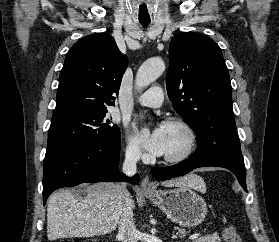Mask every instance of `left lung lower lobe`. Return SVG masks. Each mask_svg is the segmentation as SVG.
Returning <instances> with one entry per match:
<instances>
[{
	"label": "left lung lower lobe",
	"mask_w": 279,
	"mask_h": 242,
	"mask_svg": "<svg viewBox=\"0 0 279 242\" xmlns=\"http://www.w3.org/2000/svg\"><path fill=\"white\" fill-rule=\"evenodd\" d=\"M206 166H217L230 170L236 175L243 189L247 191L245 166L226 159L189 158L173 166L153 167L151 171L156 179L163 181L185 175L196 168Z\"/></svg>",
	"instance_id": "left-lung-lower-lobe-1"
}]
</instances>
